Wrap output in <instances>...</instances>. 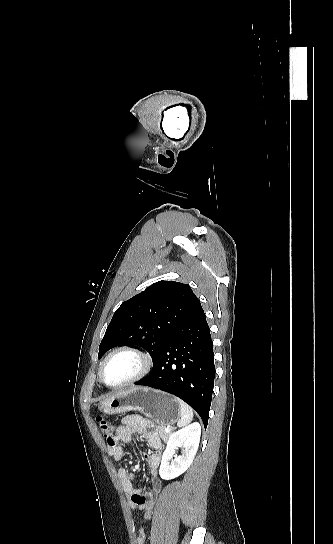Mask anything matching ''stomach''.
<instances>
[{"label":"stomach","instance_id":"obj_1","mask_svg":"<svg viewBox=\"0 0 333 544\" xmlns=\"http://www.w3.org/2000/svg\"><path fill=\"white\" fill-rule=\"evenodd\" d=\"M99 409L105 414L139 411L163 426L173 424L180 417V406L174 396L147 387L117 392L102 401Z\"/></svg>","mask_w":333,"mask_h":544}]
</instances>
